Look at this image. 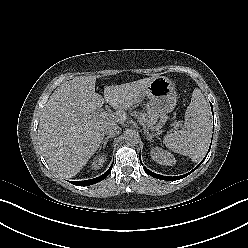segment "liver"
<instances>
[{
	"label": "liver",
	"mask_w": 248,
	"mask_h": 248,
	"mask_svg": "<svg viewBox=\"0 0 248 248\" xmlns=\"http://www.w3.org/2000/svg\"><path fill=\"white\" fill-rule=\"evenodd\" d=\"M155 76L107 86L104 98L95 92V76H78L63 82L50 96L39 122L38 138L43 155L53 171L72 178L98 150L104 128L123 124L125 110L132 107ZM107 102L116 115L102 116Z\"/></svg>",
	"instance_id": "6515ba94"
}]
</instances>
